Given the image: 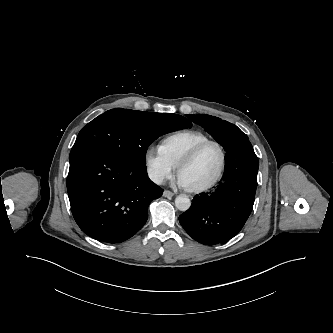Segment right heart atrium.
I'll return each mask as SVG.
<instances>
[{"instance_id": "obj_1", "label": "right heart atrium", "mask_w": 333, "mask_h": 333, "mask_svg": "<svg viewBox=\"0 0 333 333\" xmlns=\"http://www.w3.org/2000/svg\"><path fill=\"white\" fill-rule=\"evenodd\" d=\"M144 158L147 173L155 183L162 184L173 177L176 167L159 148L148 147Z\"/></svg>"}]
</instances>
